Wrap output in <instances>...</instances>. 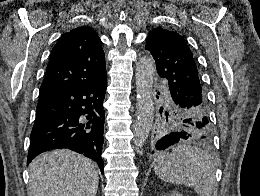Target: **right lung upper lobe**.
<instances>
[{"mask_svg": "<svg viewBox=\"0 0 260 196\" xmlns=\"http://www.w3.org/2000/svg\"><path fill=\"white\" fill-rule=\"evenodd\" d=\"M106 76L99 36L88 26L72 29L60 37L51 51L39 100Z\"/></svg>", "mask_w": 260, "mask_h": 196, "instance_id": "1", "label": "right lung upper lobe"}]
</instances>
